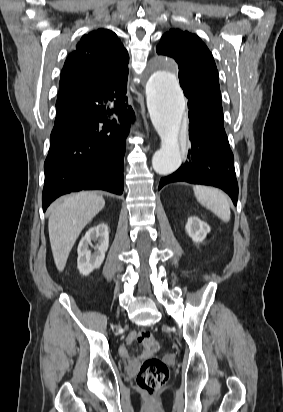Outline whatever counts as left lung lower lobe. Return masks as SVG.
Instances as JSON below:
<instances>
[{
  "label": "left lung lower lobe",
  "instance_id": "obj_1",
  "mask_svg": "<svg viewBox=\"0 0 283 412\" xmlns=\"http://www.w3.org/2000/svg\"><path fill=\"white\" fill-rule=\"evenodd\" d=\"M191 149L187 160L177 171L160 180L159 190L173 182H188L218 187L232 199H238L234 157L223 125V115L206 111L188 101Z\"/></svg>",
  "mask_w": 283,
  "mask_h": 412
}]
</instances>
